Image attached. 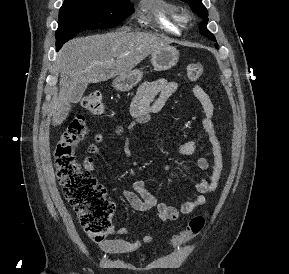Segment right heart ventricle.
I'll return each mask as SVG.
<instances>
[{
  "mask_svg": "<svg viewBox=\"0 0 289 274\" xmlns=\"http://www.w3.org/2000/svg\"><path fill=\"white\" fill-rule=\"evenodd\" d=\"M141 23L153 25L160 30L174 34L181 33L185 28L178 8L163 0H149L145 6Z\"/></svg>",
  "mask_w": 289,
  "mask_h": 274,
  "instance_id": "e07e8e85",
  "label": "right heart ventricle"
}]
</instances>
